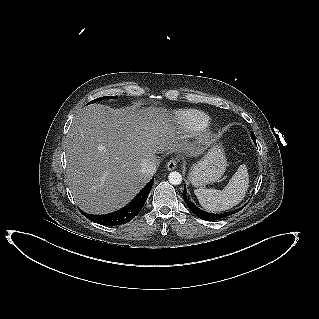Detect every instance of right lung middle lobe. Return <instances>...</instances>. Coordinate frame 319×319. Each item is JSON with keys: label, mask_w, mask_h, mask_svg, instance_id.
I'll return each instance as SVG.
<instances>
[{"label": "right lung middle lobe", "mask_w": 319, "mask_h": 319, "mask_svg": "<svg viewBox=\"0 0 319 319\" xmlns=\"http://www.w3.org/2000/svg\"><path fill=\"white\" fill-rule=\"evenodd\" d=\"M108 98H110V99H112V98H117V96L100 97V98H98V99H95V100L91 101L90 103H94V102H96V101H98V100L108 99Z\"/></svg>", "instance_id": "1"}]
</instances>
